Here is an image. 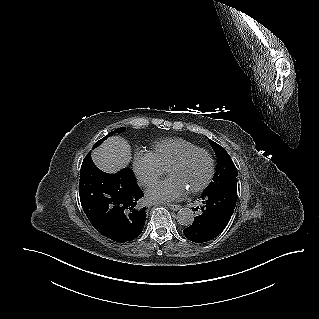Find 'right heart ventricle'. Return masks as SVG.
Here are the masks:
<instances>
[{
	"instance_id": "e07e8e85",
	"label": "right heart ventricle",
	"mask_w": 319,
	"mask_h": 319,
	"mask_svg": "<svg viewBox=\"0 0 319 319\" xmlns=\"http://www.w3.org/2000/svg\"><path fill=\"white\" fill-rule=\"evenodd\" d=\"M197 147L195 143L188 139L173 137L154 143L150 153L156 162L165 170L181 154Z\"/></svg>"
}]
</instances>
